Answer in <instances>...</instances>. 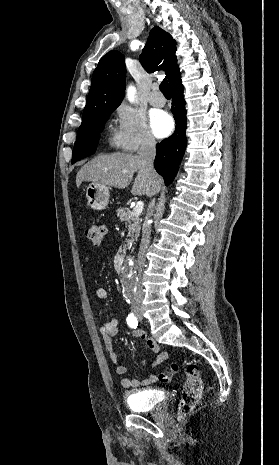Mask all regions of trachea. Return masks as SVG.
<instances>
[{
    "mask_svg": "<svg viewBox=\"0 0 279 465\" xmlns=\"http://www.w3.org/2000/svg\"><path fill=\"white\" fill-rule=\"evenodd\" d=\"M160 91L164 96H171V91L169 88L168 80L164 79L160 84Z\"/></svg>",
    "mask_w": 279,
    "mask_h": 465,
    "instance_id": "3493384b",
    "label": "trachea"
}]
</instances>
